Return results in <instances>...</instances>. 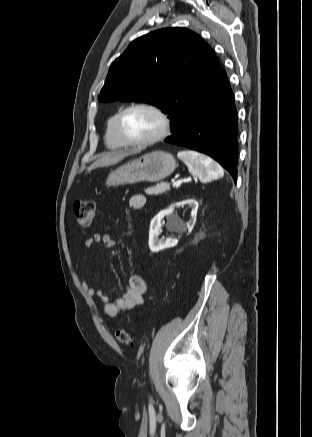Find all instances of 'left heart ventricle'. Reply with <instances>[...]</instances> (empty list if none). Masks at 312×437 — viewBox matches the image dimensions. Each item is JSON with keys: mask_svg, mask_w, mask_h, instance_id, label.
Returning <instances> with one entry per match:
<instances>
[{"mask_svg": "<svg viewBox=\"0 0 312 437\" xmlns=\"http://www.w3.org/2000/svg\"><path fill=\"white\" fill-rule=\"evenodd\" d=\"M161 128L160 119L150 110L136 108L129 111L123 120V130L134 140H143L157 134Z\"/></svg>", "mask_w": 312, "mask_h": 437, "instance_id": "obj_1", "label": "left heart ventricle"}]
</instances>
